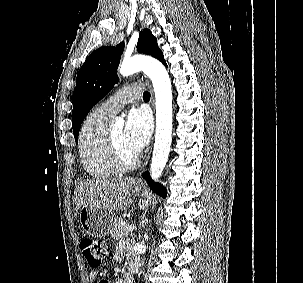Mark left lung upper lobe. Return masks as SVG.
<instances>
[{"label":"left lung upper lobe","mask_w":303,"mask_h":283,"mask_svg":"<svg viewBox=\"0 0 303 283\" xmlns=\"http://www.w3.org/2000/svg\"><path fill=\"white\" fill-rule=\"evenodd\" d=\"M123 50L124 42L115 47H101L85 60L78 71L72 99V128L76 142L81 123L90 109L110 92L118 81L116 73ZM137 50L165 64L163 53L149 29L140 32Z\"/></svg>","instance_id":"obj_1"}]
</instances>
